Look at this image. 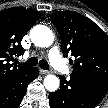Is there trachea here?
<instances>
[{
	"mask_svg": "<svg viewBox=\"0 0 108 108\" xmlns=\"http://www.w3.org/2000/svg\"><path fill=\"white\" fill-rule=\"evenodd\" d=\"M25 66H36L39 64V66L44 69V70H48L49 69V65L48 62L46 60H40L38 61L37 58H29L25 63H23Z\"/></svg>",
	"mask_w": 108,
	"mask_h": 108,
	"instance_id": "3493384b",
	"label": "trachea"
}]
</instances>
